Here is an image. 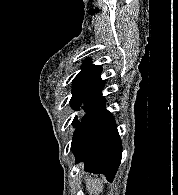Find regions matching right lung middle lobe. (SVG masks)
<instances>
[{"instance_id":"dd1d6c3e","label":"right lung middle lobe","mask_w":178,"mask_h":195,"mask_svg":"<svg viewBox=\"0 0 178 195\" xmlns=\"http://www.w3.org/2000/svg\"><path fill=\"white\" fill-rule=\"evenodd\" d=\"M97 97L93 96H73L70 100V105L74 110H80L81 105L86 112H88L96 101ZM74 127H77L80 122L78 121V117L76 116L72 122Z\"/></svg>"}]
</instances>
